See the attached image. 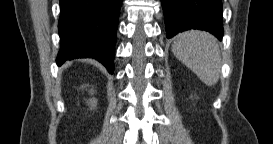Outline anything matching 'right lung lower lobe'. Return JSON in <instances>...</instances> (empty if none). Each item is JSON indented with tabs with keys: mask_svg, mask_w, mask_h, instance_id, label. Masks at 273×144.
<instances>
[{
	"mask_svg": "<svg viewBox=\"0 0 273 144\" xmlns=\"http://www.w3.org/2000/svg\"><path fill=\"white\" fill-rule=\"evenodd\" d=\"M122 0H60L58 65L94 58L112 74Z\"/></svg>",
	"mask_w": 273,
	"mask_h": 144,
	"instance_id": "98d812e1",
	"label": "right lung lower lobe"
}]
</instances>
